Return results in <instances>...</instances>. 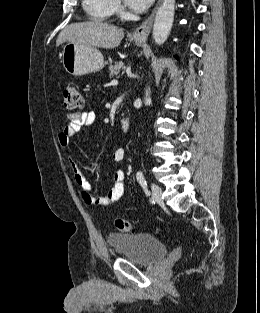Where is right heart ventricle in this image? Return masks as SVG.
<instances>
[{"mask_svg":"<svg viewBox=\"0 0 260 313\" xmlns=\"http://www.w3.org/2000/svg\"><path fill=\"white\" fill-rule=\"evenodd\" d=\"M83 6L95 21H107L114 12L113 0H83Z\"/></svg>","mask_w":260,"mask_h":313,"instance_id":"e07e8e85","label":"right heart ventricle"}]
</instances>
